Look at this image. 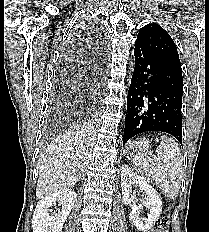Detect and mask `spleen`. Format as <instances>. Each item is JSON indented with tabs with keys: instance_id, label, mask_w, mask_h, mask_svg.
I'll return each mask as SVG.
<instances>
[{
	"instance_id": "obj_1",
	"label": "spleen",
	"mask_w": 209,
	"mask_h": 232,
	"mask_svg": "<svg viewBox=\"0 0 209 232\" xmlns=\"http://www.w3.org/2000/svg\"><path fill=\"white\" fill-rule=\"evenodd\" d=\"M159 160L138 153L132 154V162L142 175L151 178L167 197L175 198L183 177V159L174 139L161 136L156 149Z\"/></svg>"
}]
</instances>
